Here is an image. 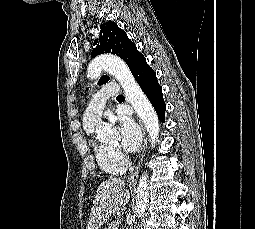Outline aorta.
I'll return each instance as SVG.
<instances>
[{
  "label": "aorta",
  "mask_w": 255,
  "mask_h": 229,
  "mask_svg": "<svg viewBox=\"0 0 255 229\" xmlns=\"http://www.w3.org/2000/svg\"><path fill=\"white\" fill-rule=\"evenodd\" d=\"M106 71L116 78L122 86L126 97L133 106L137 115L144 123L149 134L150 143L155 145L159 135V120L158 116L152 107L150 101L145 96L138 83L134 79L129 67L126 63L115 56H102L95 58L88 66L87 76L90 79H96L102 71ZM98 138L102 141L109 140L117 136L115 130L109 125L103 124L97 130ZM149 201V185L148 175L146 172L139 179L136 196V216L144 217Z\"/></svg>",
  "instance_id": "aorta-1"
}]
</instances>
